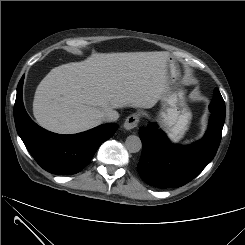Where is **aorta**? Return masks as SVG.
I'll list each match as a JSON object with an SVG mask.
<instances>
[{
  "label": "aorta",
  "mask_w": 245,
  "mask_h": 245,
  "mask_svg": "<svg viewBox=\"0 0 245 245\" xmlns=\"http://www.w3.org/2000/svg\"><path fill=\"white\" fill-rule=\"evenodd\" d=\"M126 149L131 153H137L142 149V142L136 135H130L125 141Z\"/></svg>",
  "instance_id": "1"
}]
</instances>
